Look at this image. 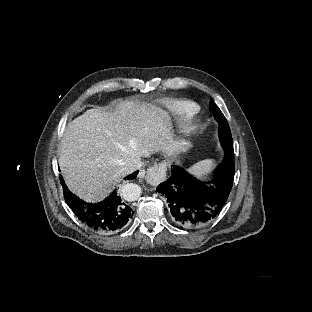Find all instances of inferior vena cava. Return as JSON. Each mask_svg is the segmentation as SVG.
Returning <instances> with one entry per match:
<instances>
[{"label":"inferior vena cava","instance_id":"1","mask_svg":"<svg viewBox=\"0 0 312 312\" xmlns=\"http://www.w3.org/2000/svg\"><path fill=\"white\" fill-rule=\"evenodd\" d=\"M144 163L140 157L134 158L126 167L127 174L134 172L135 170L142 167Z\"/></svg>","mask_w":312,"mask_h":312}]
</instances>
